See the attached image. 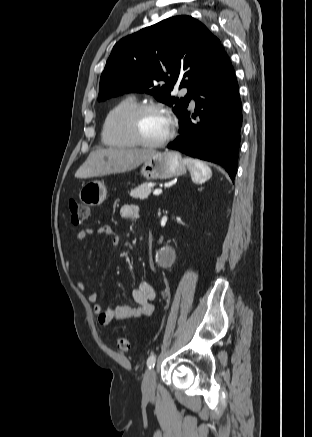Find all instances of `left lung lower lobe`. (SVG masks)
<instances>
[{
	"label": "left lung lower lobe",
	"instance_id": "obj_1",
	"mask_svg": "<svg viewBox=\"0 0 312 437\" xmlns=\"http://www.w3.org/2000/svg\"><path fill=\"white\" fill-rule=\"evenodd\" d=\"M196 103L191 120L186 110L180 116V136L167 148L222 166L234 180L237 172L242 104L239 88L226 53L216 69L193 95Z\"/></svg>",
	"mask_w": 312,
	"mask_h": 437
}]
</instances>
